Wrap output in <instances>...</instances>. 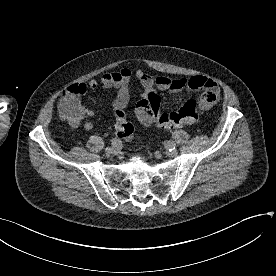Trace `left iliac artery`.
Segmentation results:
<instances>
[{"instance_id": "44dca946", "label": "left iliac artery", "mask_w": 276, "mask_h": 276, "mask_svg": "<svg viewBox=\"0 0 276 276\" xmlns=\"http://www.w3.org/2000/svg\"><path fill=\"white\" fill-rule=\"evenodd\" d=\"M165 145L168 149H175V147H176L175 142L172 140L167 141Z\"/></svg>"}]
</instances>
